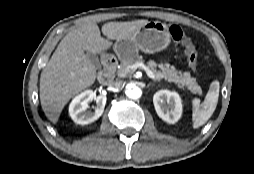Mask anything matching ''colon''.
I'll return each instance as SVG.
<instances>
[{
  "mask_svg": "<svg viewBox=\"0 0 254 174\" xmlns=\"http://www.w3.org/2000/svg\"><path fill=\"white\" fill-rule=\"evenodd\" d=\"M170 35L176 43H179L184 47L190 67L193 70H196L198 64V51L192 40L177 25L171 26Z\"/></svg>",
  "mask_w": 254,
  "mask_h": 174,
  "instance_id": "5ec220e1",
  "label": "colon"
}]
</instances>
